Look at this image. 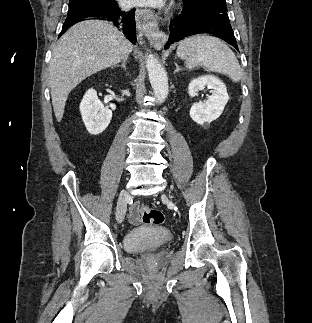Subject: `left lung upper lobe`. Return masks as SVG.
I'll return each mask as SVG.
<instances>
[{
    "mask_svg": "<svg viewBox=\"0 0 312 323\" xmlns=\"http://www.w3.org/2000/svg\"><path fill=\"white\" fill-rule=\"evenodd\" d=\"M199 1L201 0H183L184 3V7L188 8V7H193L194 5H196Z\"/></svg>",
    "mask_w": 312,
    "mask_h": 323,
    "instance_id": "left-lung-upper-lobe-1",
    "label": "left lung upper lobe"
}]
</instances>
